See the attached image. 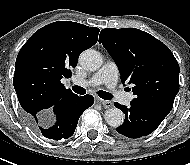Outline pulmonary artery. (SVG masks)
<instances>
[{"mask_svg": "<svg viewBox=\"0 0 190 165\" xmlns=\"http://www.w3.org/2000/svg\"><path fill=\"white\" fill-rule=\"evenodd\" d=\"M119 77V70L117 65L109 61L105 63L101 69L95 73L90 79L84 80L78 77L73 78V82L76 85L80 86H97L104 84L109 89H112L116 95V97L123 103H129L133 95L132 94H125L121 91L116 90L117 82Z\"/></svg>", "mask_w": 190, "mask_h": 165, "instance_id": "pulmonary-artery-1", "label": "pulmonary artery"}]
</instances>
